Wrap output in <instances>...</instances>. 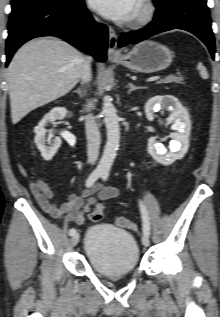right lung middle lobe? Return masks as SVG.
I'll return each instance as SVG.
<instances>
[{
  "instance_id": "obj_1",
  "label": "right lung middle lobe",
  "mask_w": 220,
  "mask_h": 317,
  "mask_svg": "<svg viewBox=\"0 0 220 317\" xmlns=\"http://www.w3.org/2000/svg\"><path fill=\"white\" fill-rule=\"evenodd\" d=\"M79 0H12L11 6L12 10L18 9L20 7L35 5V4H55V5H73Z\"/></svg>"
}]
</instances>
